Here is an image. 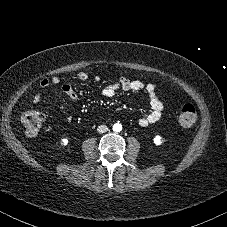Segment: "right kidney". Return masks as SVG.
I'll return each mask as SVG.
<instances>
[{"label":"right kidney","instance_id":"obj_1","mask_svg":"<svg viewBox=\"0 0 227 227\" xmlns=\"http://www.w3.org/2000/svg\"><path fill=\"white\" fill-rule=\"evenodd\" d=\"M68 144V139L67 138H62L61 139V145L66 146Z\"/></svg>","mask_w":227,"mask_h":227}]
</instances>
